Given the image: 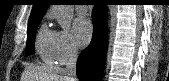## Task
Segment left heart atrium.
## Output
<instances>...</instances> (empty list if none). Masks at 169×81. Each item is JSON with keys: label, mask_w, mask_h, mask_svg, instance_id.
<instances>
[{"label": "left heart atrium", "mask_w": 169, "mask_h": 81, "mask_svg": "<svg viewBox=\"0 0 169 81\" xmlns=\"http://www.w3.org/2000/svg\"><path fill=\"white\" fill-rule=\"evenodd\" d=\"M73 33L78 45H86L92 35V25L88 18L82 16L77 18L73 24Z\"/></svg>", "instance_id": "left-heart-atrium-1"}]
</instances>
